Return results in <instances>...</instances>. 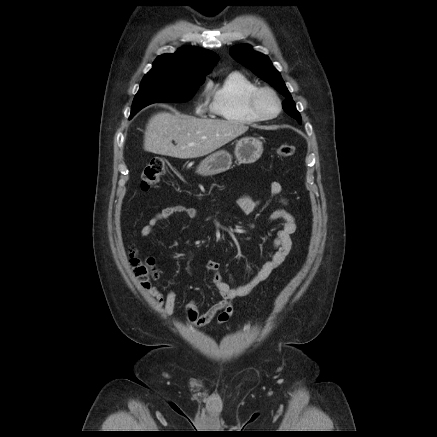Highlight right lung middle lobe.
Here are the masks:
<instances>
[{
	"mask_svg": "<svg viewBox=\"0 0 437 437\" xmlns=\"http://www.w3.org/2000/svg\"><path fill=\"white\" fill-rule=\"evenodd\" d=\"M204 80L187 81L166 73L146 74L134 98L130 118L152 103L188 101Z\"/></svg>",
	"mask_w": 437,
	"mask_h": 437,
	"instance_id": "1",
	"label": "right lung middle lobe"
}]
</instances>
